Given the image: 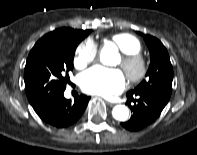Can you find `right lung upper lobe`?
Wrapping results in <instances>:
<instances>
[{"mask_svg": "<svg viewBox=\"0 0 197 155\" xmlns=\"http://www.w3.org/2000/svg\"><path fill=\"white\" fill-rule=\"evenodd\" d=\"M79 33H81V34H85V33H87V31L88 30H77Z\"/></svg>", "mask_w": 197, "mask_h": 155, "instance_id": "cb5924a9", "label": "right lung upper lobe"}]
</instances>
